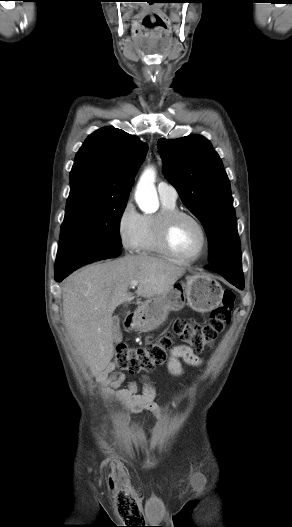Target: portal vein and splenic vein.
Instances as JSON below:
<instances>
[{"mask_svg": "<svg viewBox=\"0 0 292 527\" xmlns=\"http://www.w3.org/2000/svg\"><path fill=\"white\" fill-rule=\"evenodd\" d=\"M138 281L134 280L131 282L130 287L135 288L138 285Z\"/></svg>", "mask_w": 292, "mask_h": 527, "instance_id": "obj_1", "label": "portal vein and splenic vein"}]
</instances>
